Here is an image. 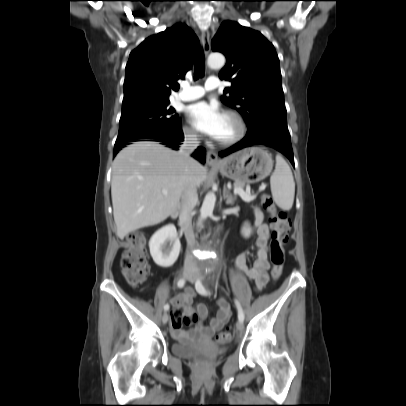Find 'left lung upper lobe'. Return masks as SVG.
<instances>
[{"label":"left lung upper lobe","instance_id":"left-lung-upper-lobe-1","mask_svg":"<svg viewBox=\"0 0 406 406\" xmlns=\"http://www.w3.org/2000/svg\"><path fill=\"white\" fill-rule=\"evenodd\" d=\"M227 63L220 79L232 82L224 90L223 103L239 111L248 126L287 128L279 59L274 46L258 31L225 21L212 41Z\"/></svg>","mask_w":406,"mask_h":406}]
</instances>
